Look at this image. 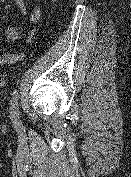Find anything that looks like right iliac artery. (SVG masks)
Listing matches in <instances>:
<instances>
[{
	"label": "right iliac artery",
	"instance_id": "right-iliac-artery-1",
	"mask_svg": "<svg viewBox=\"0 0 131 177\" xmlns=\"http://www.w3.org/2000/svg\"><path fill=\"white\" fill-rule=\"evenodd\" d=\"M11 114L14 118H17L19 113H18V92L15 90L12 94L11 98Z\"/></svg>",
	"mask_w": 131,
	"mask_h": 177
}]
</instances>
